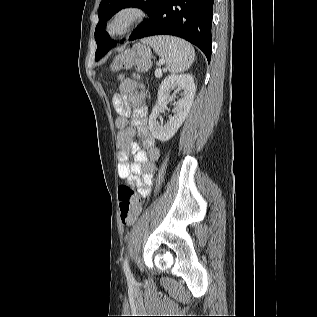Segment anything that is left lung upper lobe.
Segmentation results:
<instances>
[{"label": "left lung upper lobe", "mask_w": 317, "mask_h": 317, "mask_svg": "<svg viewBox=\"0 0 317 317\" xmlns=\"http://www.w3.org/2000/svg\"><path fill=\"white\" fill-rule=\"evenodd\" d=\"M161 1L162 0H102L98 11L99 22L95 29V40L97 43L95 59L97 60L100 58L105 44L114 42L110 40L108 34L103 29L106 26V21L110 19L113 14L125 7H138L145 10L150 16V18L142 22L137 30L129 37V40L131 41L147 27L150 20L156 14ZM105 53L106 52L102 55Z\"/></svg>", "instance_id": "5c2ea615"}]
</instances>
